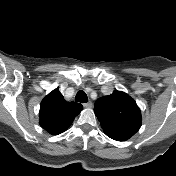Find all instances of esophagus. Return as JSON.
<instances>
[{"instance_id": "esophagus-1", "label": "esophagus", "mask_w": 176, "mask_h": 176, "mask_svg": "<svg viewBox=\"0 0 176 176\" xmlns=\"http://www.w3.org/2000/svg\"><path fill=\"white\" fill-rule=\"evenodd\" d=\"M83 106H84L85 108H92L93 104H92L91 101H89V102L85 103Z\"/></svg>"}]
</instances>
